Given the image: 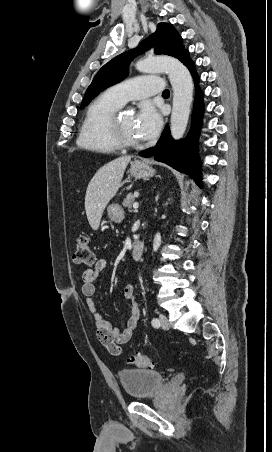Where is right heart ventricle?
I'll use <instances>...</instances> for the list:
<instances>
[{"label":"right heart ventricle","instance_id":"obj_1","mask_svg":"<svg viewBox=\"0 0 272 452\" xmlns=\"http://www.w3.org/2000/svg\"><path fill=\"white\" fill-rule=\"evenodd\" d=\"M122 106L108 91L96 97L88 106L82 121L77 138L78 147L104 154L116 151L119 147L108 135V122Z\"/></svg>","mask_w":272,"mask_h":452}]
</instances>
